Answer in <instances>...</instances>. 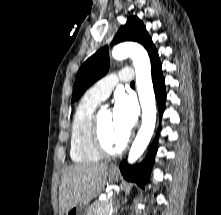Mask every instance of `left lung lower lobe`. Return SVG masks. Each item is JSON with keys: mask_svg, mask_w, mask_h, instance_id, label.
Returning <instances> with one entry per match:
<instances>
[{"mask_svg": "<svg viewBox=\"0 0 221 215\" xmlns=\"http://www.w3.org/2000/svg\"><path fill=\"white\" fill-rule=\"evenodd\" d=\"M151 73L154 91L159 105V111L160 114H162L166 99V93L158 53H156L155 56L151 58ZM157 140L158 136L155 138L147 157L140 165L132 167L129 166L125 160L121 162L120 170L127 180L136 182L141 186L147 183L149 172L151 170V165L157 151Z\"/></svg>", "mask_w": 221, "mask_h": 215, "instance_id": "left-lung-lower-lobe-1", "label": "left lung lower lobe"}]
</instances>
